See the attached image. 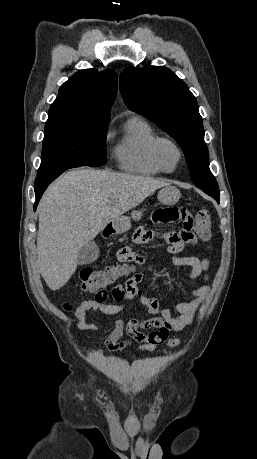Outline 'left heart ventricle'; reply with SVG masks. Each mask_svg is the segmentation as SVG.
I'll return each instance as SVG.
<instances>
[{"instance_id":"b2bd125f","label":"left heart ventricle","mask_w":257,"mask_h":459,"mask_svg":"<svg viewBox=\"0 0 257 459\" xmlns=\"http://www.w3.org/2000/svg\"><path fill=\"white\" fill-rule=\"evenodd\" d=\"M160 157L167 168H173L176 165L178 153L172 145L163 143L160 147Z\"/></svg>"}]
</instances>
